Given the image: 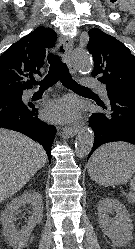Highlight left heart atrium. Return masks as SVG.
I'll list each match as a JSON object with an SVG mask.
<instances>
[{
    "label": "left heart atrium",
    "instance_id": "left-heart-atrium-1",
    "mask_svg": "<svg viewBox=\"0 0 135 249\" xmlns=\"http://www.w3.org/2000/svg\"><path fill=\"white\" fill-rule=\"evenodd\" d=\"M48 119L56 122H70L78 119L80 108L76 99L64 97L49 102L45 107Z\"/></svg>",
    "mask_w": 135,
    "mask_h": 249
}]
</instances>
